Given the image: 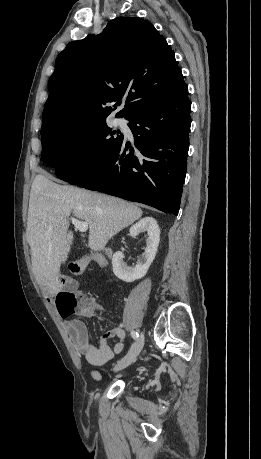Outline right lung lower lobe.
<instances>
[{
	"label": "right lung lower lobe",
	"instance_id": "98d812e1",
	"mask_svg": "<svg viewBox=\"0 0 261 459\" xmlns=\"http://www.w3.org/2000/svg\"><path fill=\"white\" fill-rule=\"evenodd\" d=\"M190 109L188 87L128 118L136 149L125 139L88 174L69 182L178 214L186 175Z\"/></svg>",
	"mask_w": 261,
	"mask_h": 459
}]
</instances>
